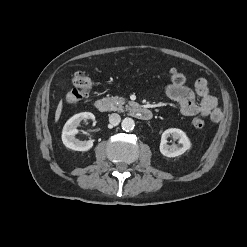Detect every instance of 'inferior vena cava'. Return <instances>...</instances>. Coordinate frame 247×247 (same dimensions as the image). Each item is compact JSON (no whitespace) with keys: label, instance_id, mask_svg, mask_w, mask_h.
Segmentation results:
<instances>
[{"label":"inferior vena cava","instance_id":"602c4592","mask_svg":"<svg viewBox=\"0 0 247 247\" xmlns=\"http://www.w3.org/2000/svg\"><path fill=\"white\" fill-rule=\"evenodd\" d=\"M121 121V117L117 113H112L109 115V122L113 126H117Z\"/></svg>","mask_w":247,"mask_h":247}]
</instances>
